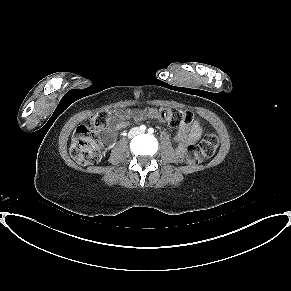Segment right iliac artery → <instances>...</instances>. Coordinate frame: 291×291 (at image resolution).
<instances>
[{"mask_svg": "<svg viewBox=\"0 0 291 291\" xmlns=\"http://www.w3.org/2000/svg\"><path fill=\"white\" fill-rule=\"evenodd\" d=\"M140 130H141V131H145V130H146V126H145V125H141V126H140Z\"/></svg>", "mask_w": 291, "mask_h": 291, "instance_id": "right-iliac-artery-1", "label": "right iliac artery"}]
</instances>
